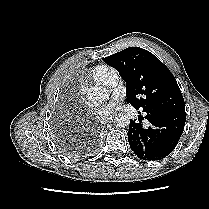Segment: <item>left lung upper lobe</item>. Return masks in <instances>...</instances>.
I'll use <instances>...</instances> for the list:
<instances>
[{"mask_svg":"<svg viewBox=\"0 0 209 209\" xmlns=\"http://www.w3.org/2000/svg\"><path fill=\"white\" fill-rule=\"evenodd\" d=\"M126 82L128 102L137 110L170 109L185 113V103L170 70L151 52L129 47L104 58Z\"/></svg>","mask_w":209,"mask_h":209,"instance_id":"left-lung-upper-lobe-1","label":"left lung upper lobe"}]
</instances>
